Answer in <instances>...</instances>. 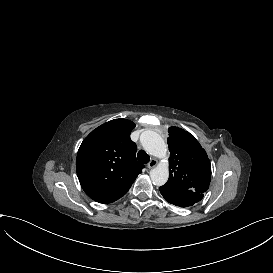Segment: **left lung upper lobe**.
Segmentation results:
<instances>
[{
  "instance_id": "5c2ea615",
  "label": "left lung upper lobe",
  "mask_w": 273,
  "mask_h": 273,
  "mask_svg": "<svg viewBox=\"0 0 273 273\" xmlns=\"http://www.w3.org/2000/svg\"><path fill=\"white\" fill-rule=\"evenodd\" d=\"M169 179L162 187L204 193L211 179L210 160L196 138L178 128L168 129Z\"/></svg>"
}]
</instances>
